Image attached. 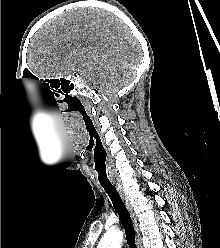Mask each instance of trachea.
<instances>
[{"label":"trachea","mask_w":220,"mask_h":248,"mask_svg":"<svg viewBox=\"0 0 220 248\" xmlns=\"http://www.w3.org/2000/svg\"><path fill=\"white\" fill-rule=\"evenodd\" d=\"M101 186L104 188L105 192L110 197L113 207L119 215V218L125 230L127 244L130 248H136L134 227L129 212L126 206L124 205L120 195L117 193L115 187L110 183L101 184Z\"/></svg>","instance_id":"trachea-1"}]
</instances>
